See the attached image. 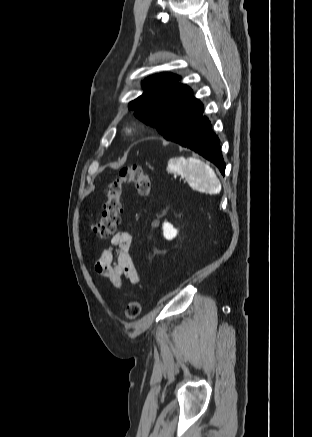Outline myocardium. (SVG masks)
Listing matches in <instances>:
<instances>
[{"mask_svg":"<svg viewBox=\"0 0 312 437\" xmlns=\"http://www.w3.org/2000/svg\"><path fill=\"white\" fill-rule=\"evenodd\" d=\"M136 131H137V126L135 124L131 123L125 127V133L127 135H133Z\"/></svg>","mask_w":312,"mask_h":437,"instance_id":"1","label":"myocardium"}]
</instances>
